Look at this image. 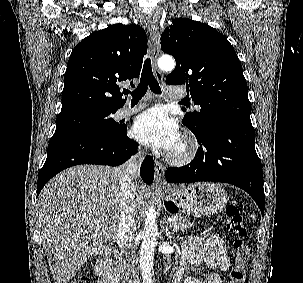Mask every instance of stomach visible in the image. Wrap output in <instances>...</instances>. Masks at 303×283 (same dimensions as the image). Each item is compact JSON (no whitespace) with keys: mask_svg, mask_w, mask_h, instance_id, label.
Listing matches in <instances>:
<instances>
[{"mask_svg":"<svg viewBox=\"0 0 303 283\" xmlns=\"http://www.w3.org/2000/svg\"><path fill=\"white\" fill-rule=\"evenodd\" d=\"M227 201L225 190L212 183L165 190V209L179 214L212 216L224 210Z\"/></svg>","mask_w":303,"mask_h":283,"instance_id":"obj_1","label":"stomach"}]
</instances>
